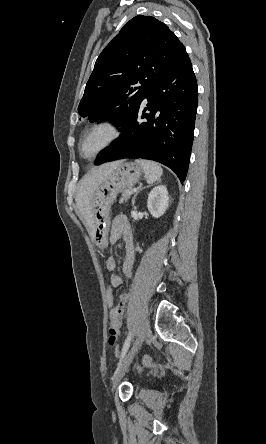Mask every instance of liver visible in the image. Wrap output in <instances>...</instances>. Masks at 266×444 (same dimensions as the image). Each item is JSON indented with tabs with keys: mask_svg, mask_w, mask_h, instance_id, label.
<instances>
[{
	"mask_svg": "<svg viewBox=\"0 0 266 444\" xmlns=\"http://www.w3.org/2000/svg\"><path fill=\"white\" fill-rule=\"evenodd\" d=\"M120 164V161L104 164L88 172L79 182L76 195L77 208L86 222L91 237H94L91 201L99 185Z\"/></svg>",
	"mask_w": 266,
	"mask_h": 444,
	"instance_id": "liver-1",
	"label": "liver"
}]
</instances>
